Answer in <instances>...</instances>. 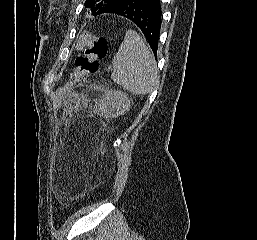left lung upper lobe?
<instances>
[{"instance_id": "left-lung-upper-lobe-1", "label": "left lung upper lobe", "mask_w": 257, "mask_h": 240, "mask_svg": "<svg viewBox=\"0 0 257 240\" xmlns=\"http://www.w3.org/2000/svg\"><path fill=\"white\" fill-rule=\"evenodd\" d=\"M119 1L121 0H86L85 6L90 8L93 16H97L115 6Z\"/></svg>"}]
</instances>
